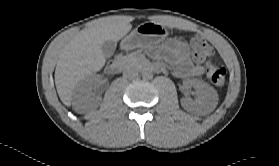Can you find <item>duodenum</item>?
I'll return each instance as SVG.
<instances>
[{
    "mask_svg": "<svg viewBox=\"0 0 279 166\" xmlns=\"http://www.w3.org/2000/svg\"><path fill=\"white\" fill-rule=\"evenodd\" d=\"M124 66V61L122 57H117L108 67L107 71L110 74H117L119 73ZM143 68L146 70H154L157 71L161 68L158 64H144Z\"/></svg>",
    "mask_w": 279,
    "mask_h": 166,
    "instance_id": "1",
    "label": "duodenum"
}]
</instances>
